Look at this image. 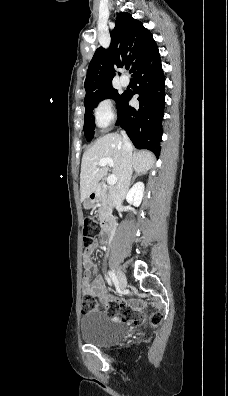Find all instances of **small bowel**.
<instances>
[{
  "label": "small bowel",
  "instance_id": "c3829d8e",
  "mask_svg": "<svg viewBox=\"0 0 228 396\" xmlns=\"http://www.w3.org/2000/svg\"><path fill=\"white\" fill-rule=\"evenodd\" d=\"M97 246V241H93L91 245L87 248L84 258H83V266L85 269V275L82 280V291L84 294H90L98 297L101 302L103 303H108V302H113L115 301V297L112 296L107 292V288L104 282V279L101 276H96L92 278V274L96 273L97 268L92 262L91 255L94 249ZM129 305L135 309V311H139L141 306L143 305L142 302L140 301H129ZM141 321L140 317H137L136 319L133 320V323H139Z\"/></svg>",
  "mask_w": 228,
  "mask_h": 396
}]
</instances>
